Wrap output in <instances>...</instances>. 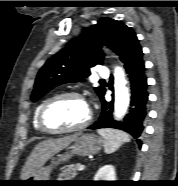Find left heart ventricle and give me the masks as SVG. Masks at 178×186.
I'll use <instances>...</instances> for the list:
<instances>
[{"instance_id": "b2bd125f", "label": "left heart ventricle", "mask_w": 178, "mask_h": 186, "mask_svg": "<svg viewBox=\"0 0 178 186\" xmlns=\"http://www.w3.org/2000/svg\"><path fill=\"white\" fill-rule=\"evenodd\" d=\"M88 115V106L75 97H66L51 104L45 121L53 129H66L80 125Z\"/></svg>"}]
</instances>
